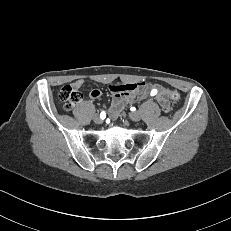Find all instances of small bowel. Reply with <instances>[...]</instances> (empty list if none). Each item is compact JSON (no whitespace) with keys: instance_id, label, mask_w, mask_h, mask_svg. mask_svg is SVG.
Returning <instances> with one entry per match:
<instances>
[{"instance_id":"c3829d8e","label":"small bowel","mask_w":231,"mask_h":231,"mask_svg":"<svg viewBox=\"0 0 231 231\" xmlns=\"http://www.w3.org/2000/svg\"><path fill=\"white\" fill-rule=\"evenodd\" d=\"M83 85V79H77L73 82V86L77 89L81 88ZM144 87L145 83L141 82H127L120 85H110L109 88L113 94V101L109 109V116L111 118H116L123 109V107L127 103L131 102L134 99L135 95L139 93ZM154 87H159V92H157L156 95L157 102L165 112H170L171 106L167 99L166 89L159 85H156ZM154 87H152V89H154ZM101 95L102 93L99 89H93L90 91L89 94L90 98L92 99H98L101 97Z\"/></svg>"}]
</instances>
